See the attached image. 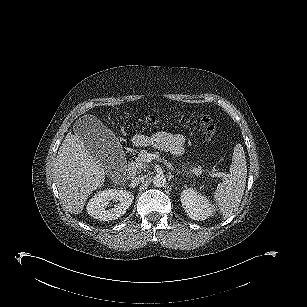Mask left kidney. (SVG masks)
Here are the masks:
<instances>
[{
	"label": "left kidney",
	"instance_id": "1",
	"mask_svg": "<svg viewBox=\"0 0 307 307\" xmlns=\"http://www.w3.org/2000/svg\"><path fill=\"white\" fill-rule=\"evenodd\" d=\"M181 203L187 215L193 220L203 221L213 213L208 199L193 188L183 190Z\"/></svg>",
	"mask_w": 307,
	"mask_h": 307
}]
</instances>
